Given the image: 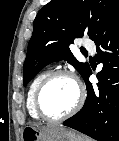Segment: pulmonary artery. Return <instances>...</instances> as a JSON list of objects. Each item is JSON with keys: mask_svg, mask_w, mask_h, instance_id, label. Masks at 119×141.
I'll return each instance as SVG.
<instances>
[{"mask_svg": "<svg viewBox=\"0 0 119 141\" xmlns=\"http://www.w3.org/2000/svg\"><path fill=\"white\" fill-rule=\"evenodd\" d=\"M83 46L89 50H91L92 52L94 51V46H93V43L92 42H85L83 44Z\"/></svg>", "mask_w": 119, "mask_h": 141, "instance_id": "1", "label": "pulmonary artery"}]
</instances>
